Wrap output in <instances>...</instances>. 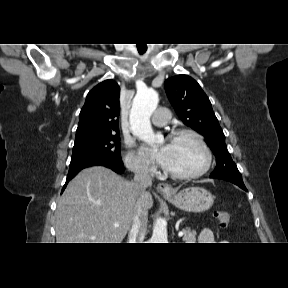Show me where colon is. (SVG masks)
I'll return each instance as SVG.
<instances>
[{
	"label": "colon",
	"instance_id": "colon-1",
	"mask_svg": "<svg viewBox=\"0 0 288 288\" xmlns=\"http://www.w3.org/2000/svg\"><path fill=\"white\" fill-rule=\"evenodd\" d=\"M218 224L221 228H226L231 221V214L227 211H219L216 213Z\"/></svg>",
	"mask_w": 288,
	"mask_h": 288
}]
</instances>
